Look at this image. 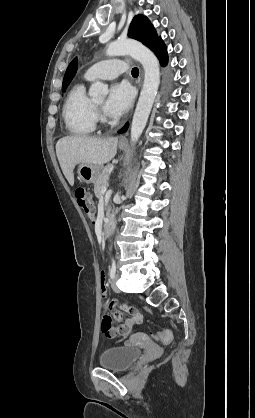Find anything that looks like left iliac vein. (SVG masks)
<instances>
[{
    "mask_svg": "<svg viewBox=\"0 0 255 418\" xmlns=\"http://www.w3.org/2000/svg\"><path fill=\"white\" fill-rule=\"evenodd\" d=\"M119 279V274H116L111 282V287L116 293H120V289L117 286V280Z\"/></svg>",
    "mask_w": 255,
    "mask_h": 418,
    "instance_id": "4c4485c4",
    "label": "left iliac vein"
}]
</instances>
